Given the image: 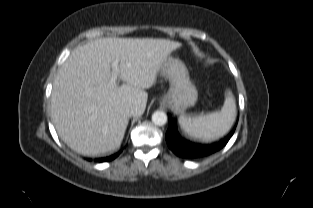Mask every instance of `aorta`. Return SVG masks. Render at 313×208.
Segmentation results:
<instances>
[{
  "label": "aorta",
  "instance_id": "762f6f07",
  "mask_svg": "<svg viewBox=\"0 0 313 208\" xmlns=\"http://www.w3.org/2000/svg\"><path fill=\"white\" fill-rule=\"evenodd\" d=\"M152 121L157 126H163L167 122V115L163 111H156L152 115Z\"/></svg>",
  "mask_w": 313,
  "mask_h": 208
}]
</instances>
